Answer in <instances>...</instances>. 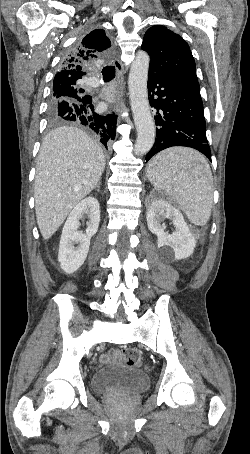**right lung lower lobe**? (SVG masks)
I'll return each instance as SVG.
<instances>
[{
    "mask_svg": "<svg viewBox=\"0 0 250 454\" xmlns=\"http://www.w3.org/2000/svg\"><path fill=\"white\" fill-rule=\"evenodd\" d=\"M54 109L63 120L74 121L86 126L105 147H107L108 142L115 138L117 123L115 114L101 116L94 112L91 96H87L80 102L69 103L66 100H61Z\"/></svg>",
    "mask_w": 250,
    "mask_h": 454,
    "instance_id": "1",
    "label": "right lung lower lobe"
}]
</instances>
